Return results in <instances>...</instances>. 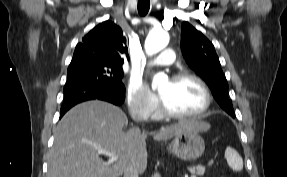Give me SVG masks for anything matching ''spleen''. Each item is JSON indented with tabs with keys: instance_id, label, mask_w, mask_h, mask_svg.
Masks as SVG:
<instances>
[{
	"instance_id": "spleen-1",
	"label": "spleen",
	"mask_w": 287,
	"mask_h": 177,
	"mask_svg": "<svg viewBox=\"0 0 287 177\" xmlns=\"http://www.w3.org/2000/svg\"><path fill=\"white\" fill-rule=\"evenodd\" d=\"M225 158L228 165L233 171H241L243 169V160L238 152L232 147H227L225 150Z\"/></svg>"
}]
</instances>
